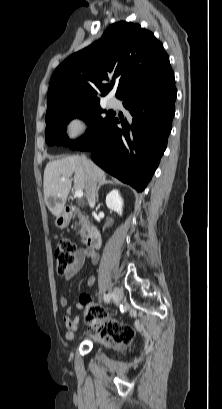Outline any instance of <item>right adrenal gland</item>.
<instances>
[{
    "mask_svg": "<svg viewBox=\"0 0 222 409\" xmlns=\"http://www.w3.org/2000/svg\"><path fill=\"white\" fill-rule=\"evenodd\" d=\"M106 184H113V182H112V181H109V180H106V178L103 177V178L99 181L98 187H97V189H96V201H97V202H99V195H98L99 189L101 188V186L106 185Z\"/></svg>",
    "mask_w": 222,
    "mask_h": 409,
    "instance_id": "right-adrenal-gland-1",
    "label": "right adrenal gland"
}]
</instances>
